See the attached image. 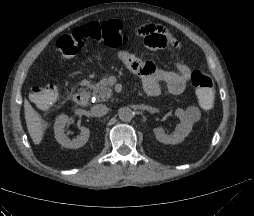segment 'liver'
<instances>
[{
  "label": "liver",
  "instance_id": "1",
  "mask_svg": "<svg viewBox=\"0 0 254 216\" xmlns=\"http://www.w3.org/2000/svg\"><path fill=\"white\" fill-rule=\"evenodd\" d=\"M24 110L30 137L34 144L39 145L44 135L43 120L27 100L24 101Z\"/></svg>",
  "mask_w": 254,
  "mask_h": 216
}]
</instances>
